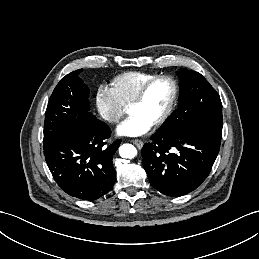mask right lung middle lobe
I'll list each match as a JSON object with an SVG mask.
<instances>
[{
    "mask_svg": "<svg viewBox=\"0 0 259 259\" xmlns=\"http://www.w3.org/2000/svg\"><path fill=\"white\" fill-rule=\"evenodd\" d=\"M82 70L67 74L55 87L46 110L44 140L60 127L86 128L97 121L89 112V88L78 76Z\"/></svg>",
    "mask_w": 259,
    "mask_h": 259,
    "instance_id": "dd1d6c3e",
    "label": "right lung middle lobe"
}]
</instances>
